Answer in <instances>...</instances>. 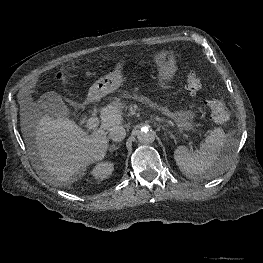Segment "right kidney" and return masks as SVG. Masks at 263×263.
<instances>
[{
    "mask_svg": "<svg viewBox=\"0 0 263 263\" xmlns=\"http://www.w3.org/2000/svg\"><path fill=\"white\" fill-rule=\"evenodd\" d=\"M114 165L111 162L98 163L91 171L95 179L103 180L107 178L113 171Z\"/></svg>",
    "mask_w": 263,
    "mask_h": 263,
    "instance_id": "1",
    "label": "right kidney"
}]
</instances>
